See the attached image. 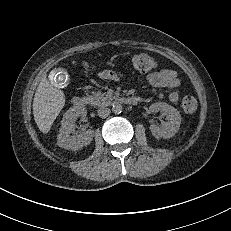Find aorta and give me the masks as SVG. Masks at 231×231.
Returning <instances> with one entry per match:
<instances>
[{"label": "aorta", "mask_w": 231, "mask_h": 231, "mask_svg": "<svg viewBox=\"0 0 231 231\" xmlns=\"http://www.w3.org/2000/svg\"><path fill=\"white\" fill-rule=\"evenodd\" d=\"M123 108L122 105L120 103H115L112 106V111L115 114H120L122 112Z\"/></svg>", "instance_id": "1"}]
</instances>
